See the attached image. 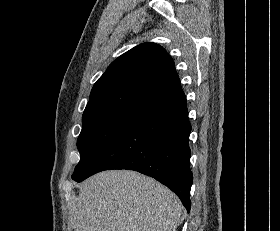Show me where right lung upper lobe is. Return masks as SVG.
I'll return each instance as SVG.
<instances>
[{
    "label": "right lung upper lobe",
    "instance_id": "1",
    "mask_svg": "<svg viewBox=\"0 0 280 231\" xmlns=\"http://www.w3.org/2000/svg\"><path fill=\"white\" fill-rule=\"evenodd\" d=\"M186 103L174 62L155 43L113 61L94 84L82 119L126 118L137 123Z\"/></svg>",
    "mask_w": 280,
    "mask_h": 231
}]
</instances>
